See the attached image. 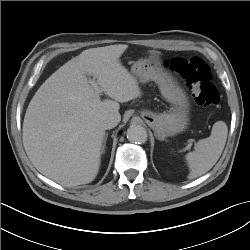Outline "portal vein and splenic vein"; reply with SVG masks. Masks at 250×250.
Listing matches in <instances>:
<instances>
[{"label": "portal vein and splenic vein", "instance_id": "1", "mask_svg": "<svg viewBox=\"0 0 250 250\" xmlns=\"http://www.w3.org/2000/svg\"><path fill=\"white\" fill-rule=\"evenodd\" d=\"M90 83L93 85L95 89H98L96 81L92 80Z\"/></svg>", "mask_w": 250, "mask_h": 250}]
</instances>
